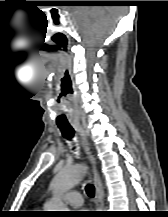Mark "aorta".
I'll use <instances>...</instances> for the list:
<instances>
[{
    "instance_id": "aorta-1",
    "label": "aorta",
    "mask_w": 168,
    "mask_h": 217,
    "mask_svg": "<svg viewBox=\"0 0 168 217\" xmlns=\"http://www.w3.org/2000/svg\"><path fill=\"white\" fill-rule=\"evenodd\" d=\"M85 172L86 166L84 165H73L59 170L50 185L53 198L46 204V211H69L62 202V195L77 185Z\"/></svg>"
}]
</instances>
